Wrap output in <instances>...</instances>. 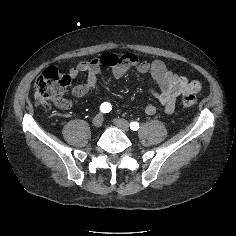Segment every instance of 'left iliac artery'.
<instances>
[{"label":"left iliac artery","instance_id":"44dca946","mask_svg":"<svg viewBox=\"0 0 236 236\" xmlns=\"http://www.w3.org/2000/svg\"><path fill=\"white\" fill-rule=\"evenodd\" d=\"M130 129L133 131H137L139 129V124L137 122H131Z\"/></svg>","mask_w":236,"mask_h":236}]
</instances>
